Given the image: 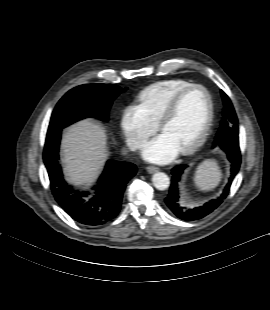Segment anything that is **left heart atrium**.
<instances>
[{"label":"left heart atrium","mask_w":270,"mask_h":310,"mask_svg":"<svg viewBox=\"0 0 270 310\" xmlns=\"http://www.w3.org/2000/svg\"><path fill=\"white\" fill-rule=\"evenodd\" d=\"M179 152L175 145L162 133L143 147V156L147 160L160 163L171 161Z\"/></svg>","instance_id":"obj_1"}]
</instances>
